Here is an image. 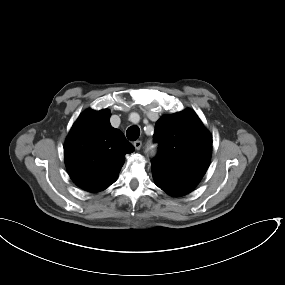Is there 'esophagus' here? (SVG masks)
<instances>
[{"label":"esophagus","mask_w":285,"mask_h":285,"mask_svg":"<svg viewBox=\"0 0 285 285\" xmlns=\"http://www.w3.org/2000/svg\"><path fill=\"white\" fill-rule=\"evenodd\" d=\"M133 145L136 150H140V148L142 147V142L140 140H137L133 143Z\"/></svg>","instance_id":"obj_1"}]
</instances>
